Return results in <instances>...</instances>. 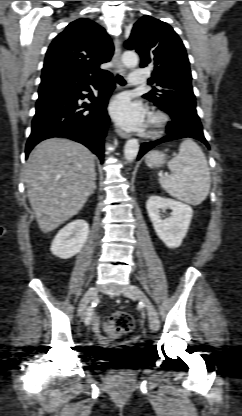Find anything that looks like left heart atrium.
<instances>
[{
	"instance_id": "39dd6f15",
	"label": "left heart atrium",
	"mask_w": 242,
	"mask_h": 416,
	"mask_svg": "<svg viewBox=\"0 0 242 416\" xmlns=\"http://www.w3.org/2000/svg\"><path fill=\"white\" fill-rule=\"evenodd\" d=\"M113 118L122 127L140 130L145 122L146 110L140 102H133L126 94L119 95L109 107Z\"/></svg>"
}]
</instances>
